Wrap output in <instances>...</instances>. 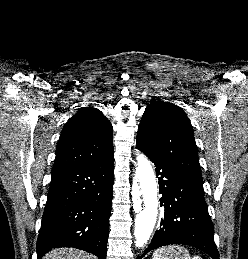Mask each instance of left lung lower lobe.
<instances>
[{"label": "left lung lower lobe", "instance_id": "left-lung-lower-lobe-1", "mask_svg": "<svg viewBox=\"0 0 248 259\" xmlns=\"http://www.w3.org/2000/svg\"><path fill=\"white\" fill-rule=\"evenodd\" d=\"M137 149L143 151L156 166L162 194L160 203L164 207L160 229L156 231L144 255L161 246L185 244L206 252L213 259H219L213 238L214 227L204 200L203 184L189 180L149 150L139 145Z\"/></svg>", "mask_w": 248, "mask_h": 259}]
</instances>
